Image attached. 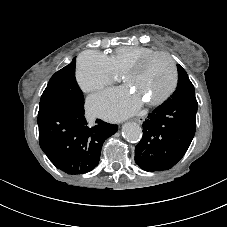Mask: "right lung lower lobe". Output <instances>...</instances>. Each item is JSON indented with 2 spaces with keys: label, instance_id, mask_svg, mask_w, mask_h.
I'll use <instances>...</instances> for the list:
<instances>
[{
  "label": "right lung lower lobe",
  "instance_id": "obj_1",
  "mask_svg": "<svg viewBox=\"0 0 227 227\" xmlns=\"http://www.w3.org/2000/svg\"><path fill=\"white\" fill-rule=\"evenodd\" d=\"M39 144L49 160L67 174H83L99 163L103 142L117 125L97 119L93 127L84 117V104L54 106L38 113Z\"/></svg>",
  "mask_w": 227,
  "mask_h": 227
}]
</instances>
